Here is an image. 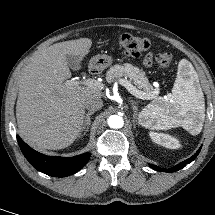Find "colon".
<instances>
[{"label": "colon", "instance_id": "5ec220e1", "mask_svg": "<svg viewBox=\"0 0 215 215\" xmlns=\"http://www.w3.org/2000/svg\"><path fill=\"white\" fill-rule=\"evenodd\" d=\"M116 43L124 53L130 57H140L148 48L149 41L145 38L131 34H122L117 37ZM173 61V54L164 52L157 56V62L160 67L167 68Z\"/></svg>", "mask_w": 215, "mask_h": 215}]
</instances>
